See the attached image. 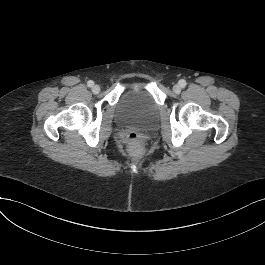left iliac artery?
<instances>
[{"label": "left iliac artery", "instance_id": "left-iliac-artery-1", "mask_svg": "<svg viewBox=\"0 0 265 265\" xmlns=\"http://www.w3.org/2000/svg\"><path fill=\"white\" fill-rule=\"evenodd\" d=\"M179 84H180V86L182 87V88H184L185 86H186V81L184 80V79H181L180 81H179Z\"/></svg>", "mask_w": 265, "mask_h": 265}]
</instances>
